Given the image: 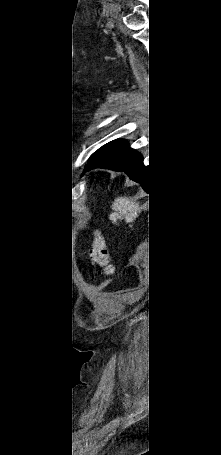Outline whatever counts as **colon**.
<instances>
[{"instance_id":"obj_1","label":"colon","mask_w":221,"mask_h":455,"mask_svg":"<svg viewBox=\"0 0 221 455\" xmlns=\"http://www.w3.org/2000/svg\"><path fill=\"white\" fill-rule=\"evenodd\" d=\"M89 259L95 267L100 268L105 274L113 273L105 240L100 234L94 236L92 246L89 250Z\"/></svg>"}]
</instances>
